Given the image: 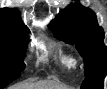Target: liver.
Segmentation results:
<instances>
[{
	"instance_id": "obj_1",
	"label": "liver",
	"mask_w": 107,
	"mask_h": 89,
	"mask_svg": "<svg viewBox=\"0 0 107 89\" xmlns=\"http://www.w3.org/2000/svg\"><path fill=\"white\" fill-rule=\"evenodd\" d=\"M11 89H67V88L64 85H59L48 80H42L32 84L15 85Z\"/></svg>"
}]
</instances>
